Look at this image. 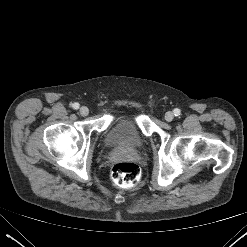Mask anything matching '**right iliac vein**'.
<instances>
[{
  "label": "right iliac vein",
  "mask_w": 247,
  "mask_h": 247,
  "mask_svg": "<svg viewBox=\"0 0 247 247\" xmlns=\"http://www.w3.org/2000/svg\"><path fill=\"white\" fill-rule=\"evenodd\" d=\"M79 112H80L81 116L85 117L89 114V109L87 107L83 106L80 108Z\"/></svg>",
  "instance_id": "obj_1"
}]
</instances>
